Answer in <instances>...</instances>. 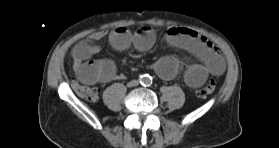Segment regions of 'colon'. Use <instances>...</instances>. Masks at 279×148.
Returning a JSON list of instances; mask_svg holds the SVG:
<instances>
[{
  "instance_id": "1",
  "label": "colon",
  "mask_w": 279,
  "mask_h": 148,
  "mask_svg": "<svg viewBox=\"0 0 279 148\" xmlns=\"http://www.w3.org/2000/svg\"><path fill=\"white\" fill-rule=\"evenodd\" d=\"M75 90L80 97H82L87 101L95 102L98 98V93L95 88L76 84ZM214 90H215V82L213 80H210L206 85H204L202 88H200L197 91V95L203 98L212 94Z\"/></svg>"
}]
</instances>
